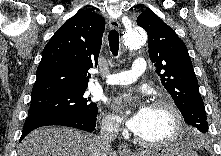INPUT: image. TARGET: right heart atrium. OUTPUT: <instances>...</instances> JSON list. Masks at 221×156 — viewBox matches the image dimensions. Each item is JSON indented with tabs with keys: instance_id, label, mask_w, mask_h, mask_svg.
Returning a JSON list of instances; mask_svg holds the SVG:
<instances>
[{
	"instance_id": "d8ad5b80",
	"label": "right heart atrium",
	"mask_w": 221,
	"mask_h": 156,
	"mask_svg": "<svg viewBox=\"0 0 221 156\" xmlns=\"http://www.w3.org/2000/svg\"><path fill=\"white\" fill-rule=\"evenodd\" d=\"M102 130L107 134H114L119 130L116 118L112 115H105L102 119Z\"/></svg>"
}]
</instances>
